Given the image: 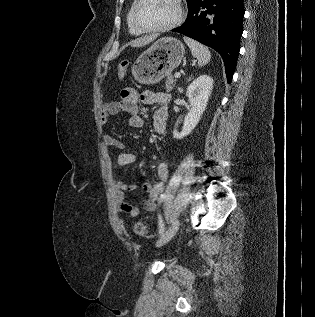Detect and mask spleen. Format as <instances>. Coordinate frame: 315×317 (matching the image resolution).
I'll list each match as a JSON object with an SVG mask.
<instances>
[{
    "mask_svg": "<svg viewBox=\"0 0 315 317\" xmlns=\"http://www.w3.org/2000/svg\"><path fill=\"white\" fill-rule=\"evenodd\" d=\"M185 43L191 50L193 57L198 61V66L206 65L211 59V53L207 47L189 37H183Z\"/></svg>",
    "mask_w": 315,
    "mask_h": 317,
    "instance_id": "1",
    "label": "spleen"
}]
</instances>
